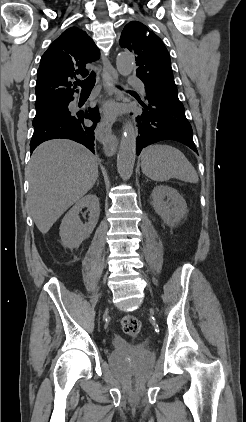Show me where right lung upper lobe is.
<instances>
[{"label": "right lung upper lobe", "instance_id": "obj_1", "mask_svg": "<svg viewBox=\"0 0 246 422\" xmlns=\"http://www.w3.org/2000/svg\"><path fill=\"white\" fill-rule=\"evenodd\" d=\"M100 52L87 33L79 28L65 30L43 54L37 71L35 107L42 109L73 98L71 80L88 75L87 63Z\"/></svg>", "mask_w": 246, "mask_h": 422}]
</instances>
